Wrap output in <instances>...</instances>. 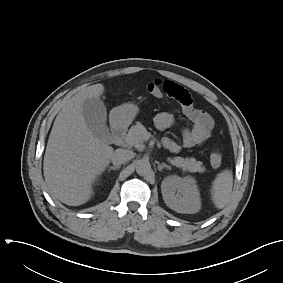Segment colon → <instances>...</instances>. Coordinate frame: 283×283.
<instances>
[{
  "label": "colon",
  "mask_w": 283,
  "mask_h": 283,
  "mask_svg": "<svg viewBox=\"0 0 283 283\" xmlns=\"http://www.w3.org/2000/svg\"><path fill=\"white\" fill-rule=\"evenodd\" d=\"M148 92L154 97L161 98L163 97V89L160 81H154L148 84ZM210 163L213 168H218L222 163V153L219 148H214L210 154Z\"/></svg>",
  "instance_id": "obj_1"
}]
</instances>
